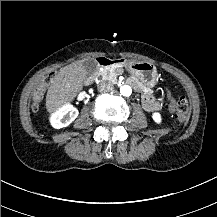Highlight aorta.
<instances>
[{
    "label": "aorta",
    "mask_w": 217,
    "mask_h": 217,
    "mask_svg": "<svg viewBox=\"0 0 217 217\" xmlns=\"http://www.w3.org/2000/svg\"><path fill=\"white\" fill-rule=\"evenodd\" d=\"M120 93L125 97H129L132 94V88L128 85H124L123 87H121Z\"/></svg>",
    "instance_id": "762f6f07"
}]
</instances>
